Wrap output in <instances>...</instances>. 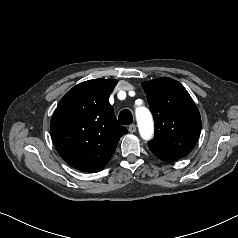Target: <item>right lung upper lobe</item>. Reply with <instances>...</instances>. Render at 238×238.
Wrapping results in <instances>:
<instances>
[{"label":"right lung upper lobe","instance_id":"right-lung-upper-lobe-1","mask_svg":"<svg viewBox=\"0 0 238 238\" xmlns=\"http://www.w3.org/2000/svg\"><path fill=\"white\" fill-rule=\"evenodd\" d=\"M116 84V80L94 79L76 85L60 100L51 118L53 144L77 170L101 171L127 133L108 101Z\"/></svg>","mask_w":238,"mask_h":238}]
</instances>
